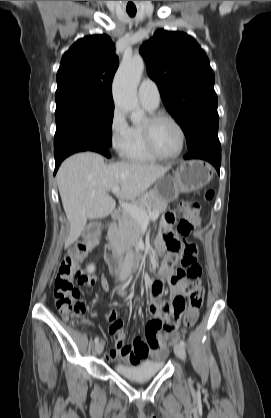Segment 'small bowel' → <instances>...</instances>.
Listing matches in <instances>:
<instances>
[{"instance_id":"c3829d8e","label":"small bowel","mask_w":271,"mask_h":418,"mask_svg":"<svg viewBox=\"0 0 271 418\" xmlns=\"http://www.w3.org/2000/svg\"><path fill=\"white\" fill-rule=\"evenodd\" d=\"M172 222L173 217L171 215L169 224ZM178 259L179 256L176 252H169L166 255L165 263L158 270V275L164 278L169 286L172 301L164 299V288L160 281L153 282L150 285L151 303L149 312L151 319L145 327V340L136 338L131 345H124L125 332L122 328V321L117 318L115 312L108 314L107 318L111 322L109 330L113 335L114 346L107 351L106 359L119 360L127 364H139L148 360L157 361L166 355L165 343L171 337V332L178 327L179 319L184 311L175 307L174 300L201 286L198 278L190 279L178 276V272L174 268ZM94 283V278H86V281L79 282L83 286ZM102 286L106 288L107 283L103 281ZM118 292L121 295L124 294L123 289H119ZM166 323L172 324V331L164 328Z\"/></svg>"}]
</instances>
